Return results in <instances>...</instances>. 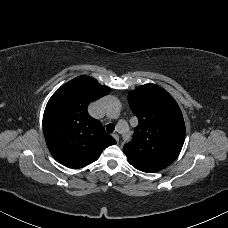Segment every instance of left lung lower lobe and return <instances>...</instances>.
<instances>
[{"instance_id":"obj_1","label":"left lung lower lobe","mask_w":228,"mask_h":228,"mask_svg":"<svg viewBox=\"0 0 228 228\" xmlns=\"http://www.w3.org/2000/svg\"><path fill=\"white\" fill-rule=\"evenodd\" d=\"M135 168L138 169V170H141L143 172H153V171L144 170V169H141V168H138V167H135Z\"/></svg>"}]
</instances>
